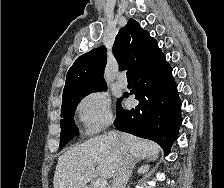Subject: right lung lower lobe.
<instances>
[{
    "instance_id": "obj_1",
    "label": "right lung lower lobe",
    "mask_w": 224,
    "mask_h": 188,
    "mask_svg": "<svg viewBox=\"0 0 224 188\" xmlns=\"http://www.w3.org/2000/svg\"><path fill=\"white\" fill-rule=\"evenodd\" d=\"M135 94L139 104L125 110L117 103L115 127L135 136L157 142L168 155L173 142L178 138L182 123L181 102L172 69L165 55L152 66L133 76Z\"/></svg>"
}]
</instances>
